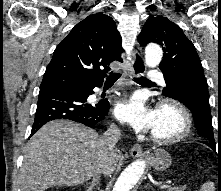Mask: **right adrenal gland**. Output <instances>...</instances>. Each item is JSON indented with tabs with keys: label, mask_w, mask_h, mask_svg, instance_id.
I'll return each instance as SVG.
<instances>
[{
	"label": "right adrenal gland",
	"mask_w": 221,
	"mask_h": 191,
	"mask_svg": "<svg viewBox=\"0 0 221 191\" xmlns=\"http://www.w3.org/2000/svg\"><path fill=\"white\" fill-rule=\"evenodd\" d=\"M98 182H99V178L96 180V183H98ZM96 183H92V184H90V186H89V183H87V186H88L87 191H92L94 186L96 185Z\"/></svg>",
	"instance_id": "obj_1"
}]
</instances>
